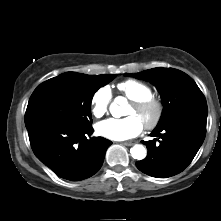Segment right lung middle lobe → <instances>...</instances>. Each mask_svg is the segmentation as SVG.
I'll use <instances>...</instances> for the list:
<instances>
[{
	"instance_id": "obj_1",
	"label": "right lung middle lobe",
	"mask_w": 221,
	"mask_h": 221,
	"mask_svg": "<svg viewBox=\"0 0 221 221\" xmlns=\"http://www.w3.org/2000/svg\"><path fill=\"white\" fill-rule=\"evenodd\" d=\"M116 76L67 72L41 83L29 99L25 125L47 119L78 129L91 128L93 95Z\"/></svg>"
}]
</instances>
